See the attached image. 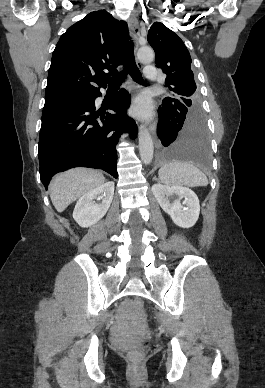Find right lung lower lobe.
<instances>
[{
  "label": "right lung lower lobe",
  "instance_id": "obj_1",
  "mask_svg": "<svg viewBox=\"0 0 265 388\" xmlns=\"http://www.w3.org/2000/svg\"><path fill=\"white\" fill-rule=\"evenodd\" d=\"M100 90L44 109L38 157L40 178L47 189L57 172L73 167L102 169L118 178L116 144L123 132L137 135V125L126 116L130 95L125 89L111 100L108 109L95 111Z\"/></svg>",
  "mask_w": 265,
  "mask_h": 388
}]
</instances>
